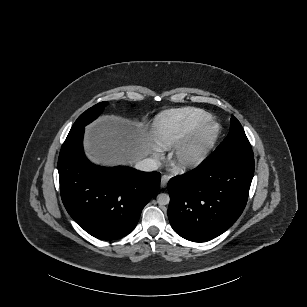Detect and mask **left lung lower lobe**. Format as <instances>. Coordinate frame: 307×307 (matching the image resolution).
<instances>
[{"mask_svg": "<svg viewBox=\"0 0 307 307\" xmlns=\"http://www.w3.org/2000/svg\"><path fill=\"white\" fill-rule=\"evenodd\" d=\"M254 175L253 155H211L168 182L169 222L181 237L209 241L230 228L245 208Z\"/></svg>", "mask_w": 307, "mask_h": 307, "instance_id": "0a47b994", "label": "left lung lower lobe"}]
</instances>
